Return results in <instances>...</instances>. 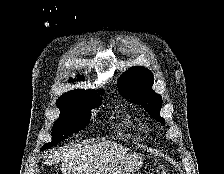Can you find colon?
Returning <instances> with one entry per match:
<instances>
[{"label": "colon", "mask_w": 224, "mask_h": 174, "mask_svg": "<svg viewBox=\"0 0 224 174\" xmlns=\"http://www.w3.org/2000/svg\"><path fill=\"white\" fill-rule=\"evenodd\" d=\"M155 174H171V173L166 167L160 166L157 168Z\"/></svg>", "instance_id": "1"}]
</instances>
